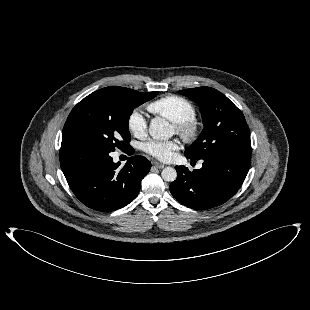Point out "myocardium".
Instances as JSON below:
<instances>
[{
	"label": "myocardium",
	"mask_w": 310,
	"mask_h": 310,
	"mask_svg": "<svg viewBox=\"0 0 310 310\" xmlns=\"http://www.w3.org/2000/svg\"><path fill=\"white\" fill-rule=\"evenodd\" d=\"M175 129L186 141H194L200 133V124L195 118L175 122Z\"/></svg>",
	"instance_id": "obj_1"
}]
</instances>
